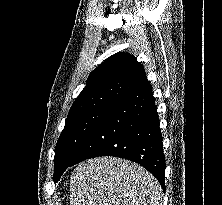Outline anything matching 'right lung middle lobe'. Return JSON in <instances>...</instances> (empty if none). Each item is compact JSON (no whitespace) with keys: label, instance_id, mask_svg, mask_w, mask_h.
<instances>
[{"label":"right lung middle lobe","instance_id":"obj_1","mask_svg":"<svg viewBox=\"0 0 222 205\" xmlns=\"http://www.w3.org/2000/svg\"><path fill=\"white\" fill-rule=\"evenodd\" d=\"M111 108L89 110L72 117H67L65 127L57 141L54 158V182H58L61 175L69 167L75 154Z\"/></svg>","mask_w":222,"mask_h":205}]
</instances>
